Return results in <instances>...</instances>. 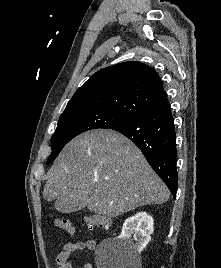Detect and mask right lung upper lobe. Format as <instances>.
<instances>
[{"label": "right lung upper lobe", "instance_id": "right-lung-upper-lobe-1", "mask_svg": "<svg viewBox=\"0 0 221 268\" xmlns=\"http://www.w3.org/2000/svg\"><path fill=\"white\" fill-rule=\"evenodd\" d=\"M169 106L157 73L141 62L99 70L73 95L63 113L105 109L128 120Z\"/></svg>", "mask_w": 221, "mask_h": 268}]
</instances>
